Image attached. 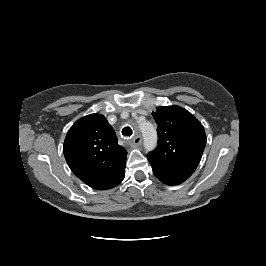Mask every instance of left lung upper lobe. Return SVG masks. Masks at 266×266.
I'll return each instance as SVG.
<instances>
[{
  "mask_svg": "<svg viewBox=\"0 0 266 266\" xmlns=\"http://www.w3.org/2000/svg\"><path fill=\"white\" fill-rule=\"evenodd\" d=\"M152 115L158 124L157 148L147 155L153 173L164 184H181L201 160L206 145L204 127L179 106H161Z\"/></svg>",
  "mask_w": 266,
  "mask_h": 266,
  "instance_id": "5c2ea615",
  "label": "left lung upper lobe"
}]
</instances>
